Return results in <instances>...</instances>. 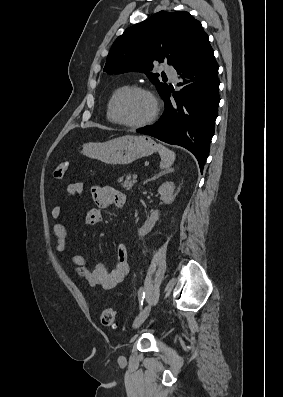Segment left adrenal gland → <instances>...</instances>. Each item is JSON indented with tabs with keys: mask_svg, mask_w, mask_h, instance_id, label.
<instances>
[{
	"mask_svg": "<svg viewBox=\"0 0 283 397\" xmlns=\"http://www.w3.org/2000/svg\"><path fill=\"white\" fill-rule=\"evenodd\" d=\"M170 172H172V170H170V169L165 170V171H162V172H160L159 174L153 176L151 179L146 180V181L144 182V184H146V183H148V182H150V181L156 180V179H158L159 177H161V176H163V175H165V174H168V173H170Z\"/></svg>",
	"mask_w": 283,
	"mask_h": 397,
	"instance_id": "a2214340",
	"label": "left adrenal gland"
}]
</instances>
